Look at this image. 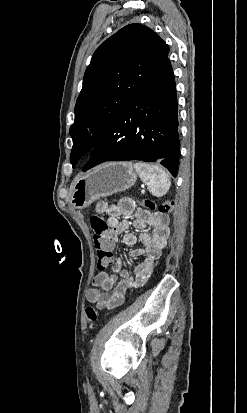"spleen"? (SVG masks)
I'll return each instance as SVG.
<instances>
[{
    "label": "spleen",
    "mask_w": 247,
    "mask_h": 413,
    "mask_svg": "<svg viewBox=\"0 0 247 413\" xmlns=\"http://www.w3.org/2000/svg\"><path fill=\"white\" fill-rule=\"evenodd\" d=\"M141 164L142 162H135L133 166L135 170L139 172L141 180L147 184L150 192H152L154 196H163V194H166L170 188V178L164 168L156 166L155 172H152L150 176H145L144 170H141Z\"/></svg>",
    "instance_id": "3e777b00"
}]
</instances>
